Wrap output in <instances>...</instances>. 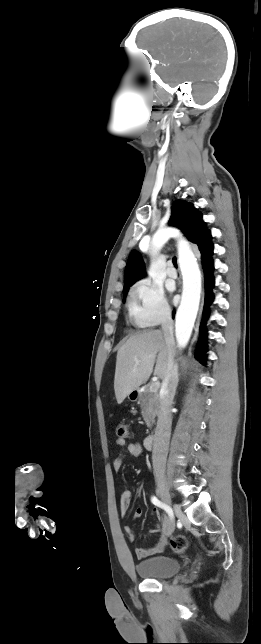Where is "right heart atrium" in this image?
<instances>
[{"label": "right heart atrium", "instance_id": "1", "mask_svg": "<svg viewBox=\"0 0 261 644\" xmlns=\"http://www.w3.org/2000/svg\"><path fill=\"white\" fill-rule=\"evenodd\" d=\"M131 316L142 327L158 325L170 319L171 311L161 285L150 278L138 281L132 288Z\"/></svg>", "mask_w": 261, "mask_h": 644}]
</instances>
